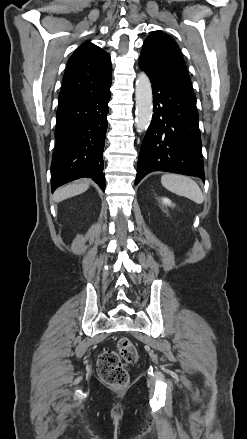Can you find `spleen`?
I'll return each instance as SVG.
<instances>
[{
  "mask_svg": "<svg viewBox=\"0 0 247 439\" xmlns=\"http://www.w3.org/2000/svg\"><path fill=\"white\" fill-rule=\"evenodd\" d=\"M162 185L169 191L184 196L197 204L204 201L202 191L191 178L178 174H165L161 177Z\"/></svg>",
  "mask_w": 247,
  "mask_h": 439,
  "instance_id": "1",
  "label": "spleen"
}]
</instances>
